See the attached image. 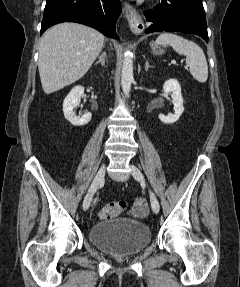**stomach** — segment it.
<instances>
[{"mask_svg":"<svg viewBox=\"0 0 240 287\" xmlns=\"http://www.w3.org/2000/svg\"><path fill=\"white\" fill-rule=\"evenodd\" d=\"M150 47H151L153 53L156 55H159V54H162L165 52L164 49L159 47L156 43H151Z\"/></svg>","mask_w":240,"mask_h":287,"instance_id":"1","label":"stomach"}]
</instances>
